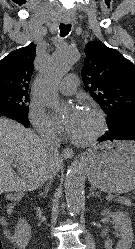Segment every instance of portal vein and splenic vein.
I'll return each instance as SVG.
<instances>
[{
  "label": "portal vein and splenic vein",
  "mask_w": 135,
  "mask_h": 249,
  "mask_svg": "<svg viewBox=\"0 0 135 249\" xmlns=\"http://www.w3.org/2000/svg\"><path fill=\"white\" fill-rule=\"evenodd\" d=\"M20 166H21V165H20ZM111 197H112V196L110 195V196H108L107 198L110 199Z\"/></svg>",
  "instance_id": "obj_1"
}]
</instances>
